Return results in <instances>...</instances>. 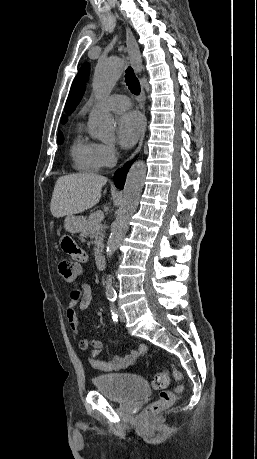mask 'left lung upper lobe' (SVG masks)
<instances>
[{"instance_id": "obj_1", "label": "left lung upper lobe", "mask_w": 257, "mask_h": 459, "mask_svg": "<svg viewBox=\"0 0 257 459\" xmlns=\"http://www.w3.org/2000/svg\"><path fill=\"white\" fill-rule=\"evenodd\" d=\"M90 73V65L88 63H84L78 71L76 75L71 89L66 101L65 110L67 113H71L80 102L84 92L86 83L85 80L88 78Z\"/></svg>"}]
</instances>
